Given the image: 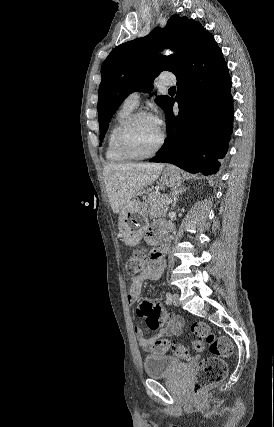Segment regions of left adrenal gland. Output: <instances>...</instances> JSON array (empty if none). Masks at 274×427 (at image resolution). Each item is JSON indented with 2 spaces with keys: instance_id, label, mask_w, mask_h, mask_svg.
Instances as JSON below:
<instances>
[{
  "instance_id": "1",
  "label": "left adrenal gland",
  "mask_w": 274,
  "mask_h": 427,
  "mask_svg": "<svg viewBox=\"0 0 274 427\" xmlns=\"http://www.w3.org/2000/svg\"><path fill=\"white\" fill-rule=\"evenodd\" d=\"M186 190H187V188H172L171 198H172L173 202H172L171 210H174V208L177 204V200L179 198V194H182V192H186Z\"/></svg>"
}]
</instances>
